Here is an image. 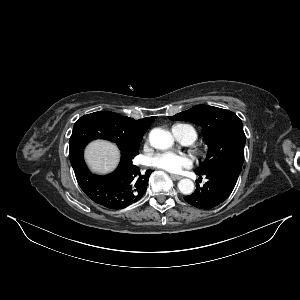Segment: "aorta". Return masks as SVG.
Instances as JSON below:
<instances>
[{
	"mask_svg": "<svg viewBox=\"0 0 300 300\" xmlns=\"http://www.w3.org/2000/svg\"><path fill=\"white\" fill-rule=\"evenodd\" d=\"M150 144L160 150L168 149L173 144L171 134L160 128H155L149 133ZM178 189L184 195H190L194 191V183L190 179H182L178 182Z\"/></svg>",
	"mask_w": 300,
	"mask_h": 300,
	"instance_id": "obj_1",
	"label": "aorta"
}]
</instances>
